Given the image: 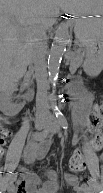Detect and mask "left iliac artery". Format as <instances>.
<instances>
[{
	"label": "left iliac artery",
	"mask_w": 103,
	"mask_h": 193,
	"mask_svg": "<svg viewBox=\"0 0 103 193\" xmlns=\"http://www.w3.org/2000/svg\"><path fill=\"white\" fill-rule=\"evenodd\" d=\"M57 118H58L59 123L63 127V129H67L68 128V122H67L66 117L61 112H59V113H57ZM94 184H95L94 180L92 178H90L88 180V185L90 187H92V186H94Z\"/></svg>",
	"instance_id": "obj_1"
}]
</instances>
